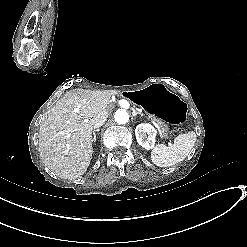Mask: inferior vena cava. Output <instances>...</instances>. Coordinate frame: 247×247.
I'll list each match as a JSON object with an SVG mask.
<instances>
[{
    "mask_svg": "<svg viewBox=\"0 0 247 247\" xmlns=\"http://www.w3.org/2000/svg\"><path fill=\"white\" fill-rule=\"evenodd\" d=\"M107 120V117H101L93 126L94 129H98L100 128L104 123L105 121Z\"/></svg>",
    "mask_w": 247,
    "mask_h": 247,
    "instance_id": "1",
    "label": "inferior vena cava"
}]
</instances>
